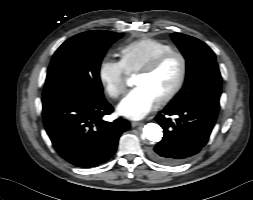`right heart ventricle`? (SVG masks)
Here are the masks:
<instances>
[{
	"instance_id": "right-heart-ventricle-1",
	"label": "right heart ventricle",
	"mask_w": 253,
	"mask_h": 200,
	"mask_svg": "<svg viewBox=\"0 0 253 200\" xmlns=\"http://www.w3.org/2000/svg\"><path fill=\"white\" fill-rule=\"evenodd\" d=\"M170 51H173V47L167 43L153 38H142L120 49V63L127 74H134L156 57Z\"/></svg>"
}]
</instances>
